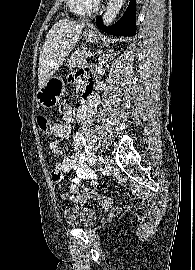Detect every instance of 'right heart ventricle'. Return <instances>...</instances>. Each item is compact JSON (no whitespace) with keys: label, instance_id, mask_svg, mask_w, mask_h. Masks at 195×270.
<instances>
[{"label":"right heart ventricle","instance_id":"right-heart-ventricle-1","mask_svg":"<svg viewBox=\"0 0 195 270\" xmlns=\"http://www.w3.org/2000/svg\"><path fill=\"white\" fill-rule=\"evenodd\" d=\"M71 12L78 16L93 13L97 8V0H67Z\"/></svg>","mask_w":195,"mask_h":270}]
</instances>
